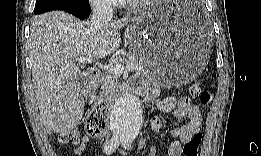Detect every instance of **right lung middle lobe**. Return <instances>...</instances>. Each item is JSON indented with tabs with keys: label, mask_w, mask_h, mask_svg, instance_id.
I'll use <instances>...</instances> for the list:
<instances>
[{
	"label": "right lung middle lobe",
	"mask_w": 261,
	"mask_h": 156,
	"mask_svg": "<svg viewBox=\"0 0 261 156\" xmlns=\"http://www.w3.org/2000/svg\"><path fill=\"white\" fill-rule=\"evenodd\" d=\"M82 2L89 3L87 0H36L34 13L49 10H65Z\"/></svg>",
	"instance_id": "1"
}]
</instances>
